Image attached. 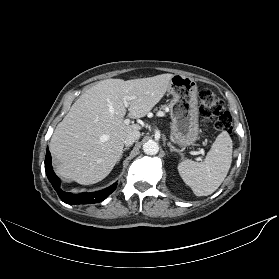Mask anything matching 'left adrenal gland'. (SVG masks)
Masks as SVG:
<instances>
[{
	"label": "left adrenal gland",
	"instance_id": "obj_1",
	"mask_svg": "<svg viewBox=\"0 0 279 279\" xmlns=\"http://www.w3.org/2000/svg\"><path fill=\"white\" fill-rule=\"evenodd\" d=\"M167 145L170 147L171 152H177L179 155H182V153L178 149H176L170 142H168Z\"/></svg>",
	"mask_w": 279,
	"mask_h": 279
}]
</instances>
